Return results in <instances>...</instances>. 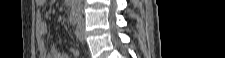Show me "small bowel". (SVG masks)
Here are the masks:
<instances>
[{
    "label": "small bowel",
    "mask_w": 225,
    "mask_h": 58,
    "mask_svg": "<svg viewBox=\"0 0 225 58\" xmlns=\"http://www.w3.org/2000/svg\"><path fill=\"white\" fill-rule=\"evenodd\" d=\"M45 2L46 0H36V3L38 6L44 5ZM36 27H37V33L40 37L45 35L48 31L47 23L42 19L41 16L37 17ZM38 50L42 58H70V56L72 58H78L79 56V51L75 47L69 48L70 55L60 53L58 49L55 47L51 48V50L48 51L42 39L39 40Z\"/></svg>",
    "instance_id": "c3829d8e"
}]
</instances>
